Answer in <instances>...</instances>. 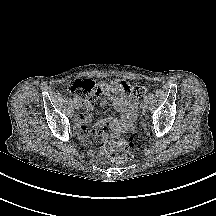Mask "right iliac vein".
<instances>
[{
    "mask_svg": "<svg viewBox=\"0 0 216 216\" xmlns=\"http://www.w3.org/2000/svg\"><path fill=\"white\" fill-rule=\"evenodd\" d=\"M74 107H75V109H79L80 108V103L79 102L77 104L74 103Z\"/></svg>",
    "mask_w": 216,
    "mask_h": 216,
    "instance_id": "obj_1",
    "label": "right iliac vein"
}]
</instances>
